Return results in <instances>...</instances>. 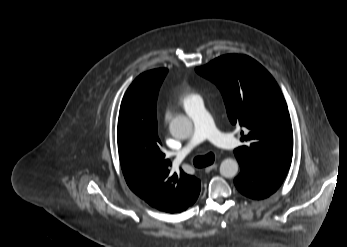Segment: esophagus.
<instances>
[{"label":"esophagus","instance_id":"esophagus-1","mask_svg":"<svg viewBox=\"0 0 347 247\" xmlns=\"http://www.w3.org/2000/svg\"><path fill=\"white\" fill-rule=\"evenodd\" d=\"M217 167H218V165H217L216 163H214V164H212V165H210V166H207V167L205 168V171H206V172H210L211 170L216 169Z\"/></svg>","mask_w":347,"mask_h":247}]
</instances>
